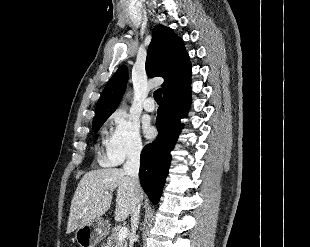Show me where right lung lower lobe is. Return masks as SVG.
<instances>
[{"instance_id": "98d812e1", "label": "right lung lower lobe", "mask_w": 310, "mask_h": 247, "mask_svg": "<svg viewBox=\"0 0 310 247\" xmlns=\"http://www.w3.org/2000/svg\"><path fill=\"white\" fill-rule=\"evenodd\" d=\"M190 102V83L163 95L156 120L158 136L141 153L139 178L153 204L160 199L170 165V151L183 127L180 119L188 112Z\"/></svg>"}]
</instances>
